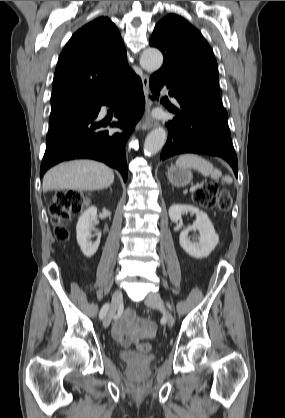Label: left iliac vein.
<instances>
[{"label":"left iliac vein","mask_w":285,"mask_h":418,"mask_svg":"<svg viewBox=\"0 0 285 418\" xmlns=\"http://www.w3.org/2000/svg\"><path fill=\"white\" fill-rule=\"evenodd\" d=\"M145 304L152 308H157L163 312L166 323L169 327L174 325V318L172 313L166 308L159 293H151L145 299Z\"/></svg>","instance_id":"1"}]
</instances>
